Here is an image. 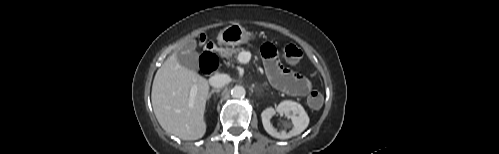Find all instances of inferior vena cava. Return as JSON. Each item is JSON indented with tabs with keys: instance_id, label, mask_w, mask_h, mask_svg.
I'll use <instances>...</instances> for the list:
<instances>
[{
	"instance_id": "602c4592",
	"label": "inferior vena cava",
	"mask_w": 499,
	"mask_h": 154,
	"mask_svg": "<svg viewBox=\"0 0 499 154\" xmlns=\"http://www.w3.org/2000/svg\"><path fill=\"white\" fill-rule=\"evenodd\" d=\"M230 81V77L227 74H217L209 79V83L214 88H222L227 85Z\"/></svg>"
}]
</instances>
